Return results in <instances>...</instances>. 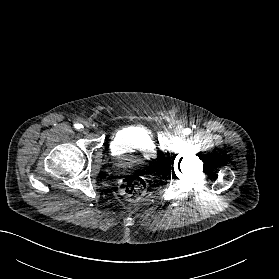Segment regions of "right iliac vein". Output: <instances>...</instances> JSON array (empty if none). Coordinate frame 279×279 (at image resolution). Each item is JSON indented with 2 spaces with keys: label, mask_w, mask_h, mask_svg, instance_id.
Here are the masks:
<instances>
[{
  "label": "right iliac vein",
  "mask_w": 279,
  "mask_h": 279,
  "mask_svg": "<svg viewBox=\"0 0 279 279\" xmlns=\"http://www.w3.org/2000/svg\"><path fill=\"white\" fill-rule=\"evenodd\" d=\"M87 128H88V126L86 125V129H85V131L87 130Z\"/></svg>",
  "instance_id": "obj_1"
}]
</instances>
